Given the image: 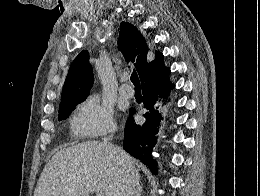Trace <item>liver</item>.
<instances>
[{"mask_svg":"<svg viewBox=\"0 0 260 196\" xmlns=\"http://www.w3.org/2000/svg\"><path fill=\"white\" fill-rule=\"evenodd\" d=\"M138 168L136 160L119 146L83 142L52 156L34 196H89L91 192L102 196H123L129 192L133 196L142 192Z\"/></svg>","mask_w":260,"mask_h":196,"instance_id":"6515ba94","label":"liver"}]
</instances>
